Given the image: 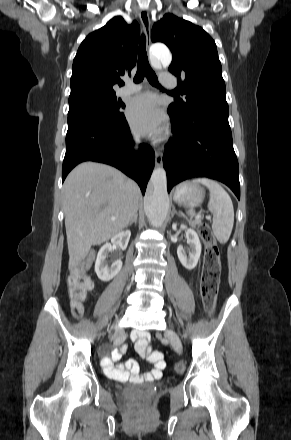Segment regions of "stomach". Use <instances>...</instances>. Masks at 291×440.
<instances>
[{
	"mask_svg": "<svg viewBox=\"0 0 291 440\" xmlns=\"http://www.w3.org/2000/svg\"><path fill=\"white\" fill-rule=\"evenodd\" d=\"M205 197V191L195 183L184 182L174 193V201L189 207L200 205Z\"/></svg>",
	"mask_w": 291,
	"mask_h": 440,
	"instance_id": "stomach-1",
	"label": "stomach"
}]
</instances>
